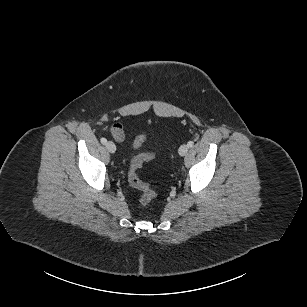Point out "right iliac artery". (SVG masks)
I'll return each instance as SVG.
<instances>
[{
    "instance_id": "1",
    "label": "right iliac artery",
    "mask_w": 307,
    "mask_h": 307,
    "mask_svg": "<svg viewBox=\"0 0 307 307\" xmlns=\"http://www.w3.org/2000/svg\"><path fill=\"white\" fill-rule=\"evenodd\" d=\"M100 141H101V143L104 144V145L107 143L106 138H101Z\"/></svg>"
}]
</instances>
